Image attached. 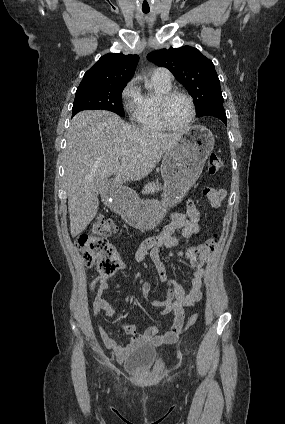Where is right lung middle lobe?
Wrapping results in <instances>:
<instances>
[{"label": "right lung middle lobe", "mask_w": 285, "mask_h": 424, "mask_svg": "<svg viewBox=\"0 0 285 424\" xmlns=\"http://www.w3.org/2000/svg\"><path fill=\"white\" fill-rule=\"evenodd\" d=\"M127 83L78 87L73 103V115L82 110H108L124 116L121 95Z\"/></svg>", "instance_id": "right-lung-middle-lobe-1"}]
</instances>
